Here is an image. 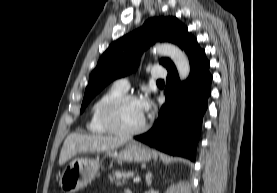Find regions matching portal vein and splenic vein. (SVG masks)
<instances>
[{"label": "portal vein and splenic vein", "instance_id": "1", "mask_svg": "<svg viewBox=\"0 0 277 193\" xmlns=\"http://www.w3.org/2000/svg\"><path fill=\"white\" fill-rule=\"evenodd\" d=\"M140 180H141V178L139 176H136L133 178L134 183H138V182H140Z\"/></svg>", "mask_w": 277, "mask_h": 193}]
</instances>
